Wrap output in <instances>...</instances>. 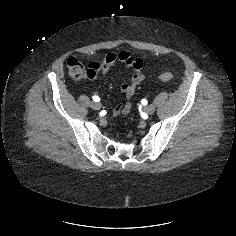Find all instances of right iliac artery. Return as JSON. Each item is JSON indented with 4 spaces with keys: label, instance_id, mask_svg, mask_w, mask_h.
Returning a JSON list of instances; mask_svg holds the SVG:
<instances>
[{
    "label": "right iliac artery",
    "instance_id": "82829eb1",
    "mask_svg": "<svg viewBox=\"0 0 236 236\" xmlns=\"http://www.w3.org/2000/svg\"><path fill=\"white\" fill-rule=\"evenodd\" d=\"M92 98H93V100H94L95 102H99V101H100V98H99L98 96H93Z\"/></svg>",
    "mask_w": 236,
    "mask_h": 236
}]
</instances>
